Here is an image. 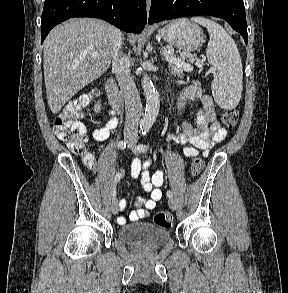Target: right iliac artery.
<instances>
[{
    "mask_svg": "<svg viewBox=\"0 0 288 293\" xmlns=\"http://www.w3.org/2000/svg\"><path fill=\"white\" fill-rule=\"evenodd\" d=\"M118 148L120 149H125L126 148V142L124 141H120L118 143ZM123 176V173L122 172H119L116 174L115 176V179H114V183H113V190H112V197H113V200L115 199L116 197V185L117 183L120 181V179L122 178Z\"/></svg>",
    "mask_w": 288,
    "mask_h": 293,
    "instance_id": "82829eb1",
    "label": "right iliac artery"
}]
</instances>
